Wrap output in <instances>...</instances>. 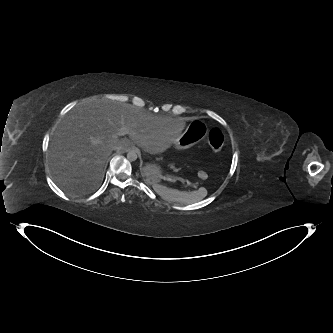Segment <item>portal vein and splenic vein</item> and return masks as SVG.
<instances>
[{
    "mask_svg": "<svg viewBox=\"0 0 333 333\" xmlns=\"http://www.w3.org/2000/svg\"><path fill=\"white\" fill-rule=\"evenodd\" d=\"M130 133V128L127 126H122L118 129V132L115 134V137L124 136Z\"/></svg>",
    "mask_w": 333,
    "mask_h": 333,
    "instance_id": "portal-vein-and-splenic-vein-1",
    "label": "portal vein and splenic vein"
}]
</instances>
